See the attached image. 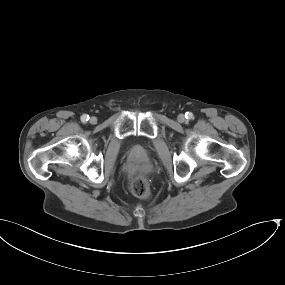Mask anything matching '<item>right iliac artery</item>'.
I'll return each instance as SVG.
<instances>
[{"label":"right iliac artery","mask_w":285,"mask_h":285,"mask_svg":"<svg viewBox=\"0 0 285 285\" xmlns=\"http://www.w3.org/2000/svg\"><path fill=\"white\" fill-rule=\"evenodd\" d=\"M88 120H89V116L87 114H84V115L81 116V121L83 123H86Z\"/></svg>","instance_id":"obj_1"}]
</instances>
